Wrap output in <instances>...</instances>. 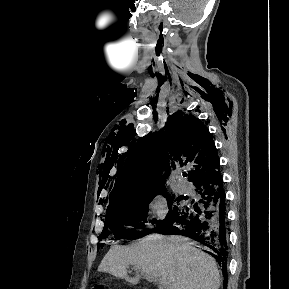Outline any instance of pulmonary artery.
I'll use <instances>...</instances> for the list:
<instances>
[{
  "label": "pulmonary artery",
  "mask_w": 289,
  "mask_h": 289,
  "mask_svg": "<svg viewBox=\"0 0 289 289\" xmlns=\"http://www.w3.org/2000/svg\"><path fill=\"white\" fill-rule=\"evenodd\" d=\"M178 187L182 192H188L190 190L189 186L185 182H179Z\"/></svg>",
  "instance_id": "obj_1"
}]
</instances>
